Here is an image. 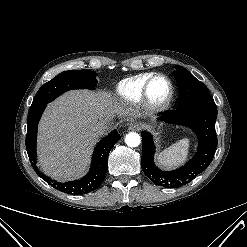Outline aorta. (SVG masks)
<instances>
[{
	"label": "aorta",
	"mask_w": 247,
	"mask_h": 247,
	"mask_svg": "<svg viewBox=\"0 0 247 247\" xmlns=\"http://www.w3.org/2000/svg\"><path fill=\"white\" fill-rule=\"evenodd\" d=\"M125 143L129 147H137L141 143L140 135L136 132H130L125 137Z\"/></svg>",
	"instance_id": "aorta-1"
}]
</instances>
